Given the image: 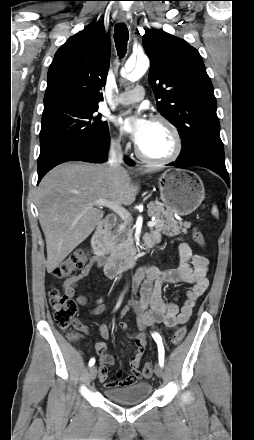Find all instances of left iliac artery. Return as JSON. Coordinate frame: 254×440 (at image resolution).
<instances>
[{"label": "left iliac artery", "mask_w": 254, "mask_h": 440, "mask_svg": "<svg viewBox=\"0 0 254 440\" xmlns=\"http://www.w3.org/2000/svg\"><path fill=\"white\" fill-rule=\"evenodd\" d=\"M152 337L154 338V340L156 341V343H157V345H158V358H159V365H160L161 367H163V366H164V354H165V352H164V346H163V344H162V338H161V336H160L158 333H156V332L152 333Z\"/></svg>", "instance_id": "obj_1"}]
</instances>
